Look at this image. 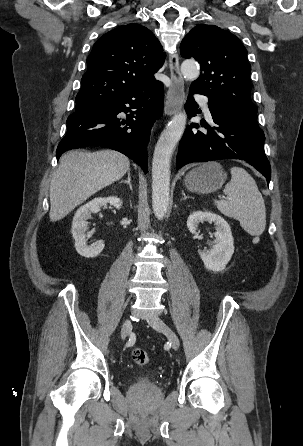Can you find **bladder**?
<instances>
[{"label": "bladder", "mask_w": 303, "mask_h": 446, "mask_svg": "<svg viewBox=\"0 0 303 446\" xmlns=\"http://www.w3.org/2000/svg\"><path fill=\"white\" fill-rule=\"evenodd\" d=\"M153 384V380L144 374L137 375L132 381V385L137 387H150Z\"/></svg>", "instance_id": "1"}]
</instances>
